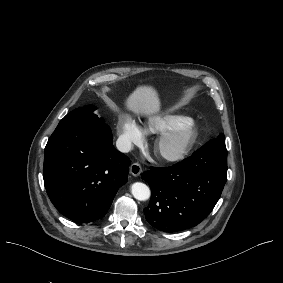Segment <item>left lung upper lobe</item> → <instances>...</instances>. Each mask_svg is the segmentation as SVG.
Segmentation results:
<instances>
[{
	"label": "left lung upper lobe",
	"instance_id": "left-lung-upper-lobe-1",
	"mask_svg": "<svg viewBox=\"0 0 283 283\" xmlns=\"http://www.w3.org/2000/svg\"><path fill=\"white\" fill-rule=\"evenodd\" d=\"M216 139L221 140V141H225L224 134L223 133L219 134Z\"/></svg>",
	"mask_w": 283,
	"mask_h": 283
}]
</instances>
